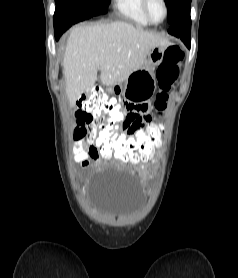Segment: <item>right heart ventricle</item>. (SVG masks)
I'll return each mask as SVG.
<instances>
[{"mask_svg": "<svg viewBox=\"0 0 238 278\" xmlns=\"http://www.w3.org/2000/svg\"><path fill=\"white\" fill-rule=\"evenodd\" d=\"M115 7L119 14L142 25H149L151 22L146 17L142 0H114Z\"/></svg>", "mask_w": 238, "mask_h": 278, "instance_id": "obj_1", "label": "right heart ventricle"}]
</instances>
